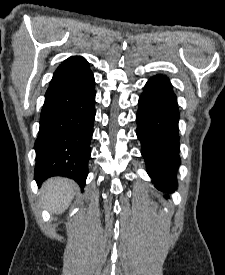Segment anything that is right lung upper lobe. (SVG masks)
<instances>
[{"label":"right lung upper lobe","instance_id":"right-lung-upper-lobe-1","mask_svg":"<svg viewBox=\"0 0 225 275\" xmlns=\"http://www.w3.org/2000/svg\"><path fill=\"white\" fill-rule=\"evenodd\" d=\"M92 78L89 63L81 56H72L56 69L47 92L85 84Z\"/></svg>","mask_w":225,"mask_h":275}]
</instances>
